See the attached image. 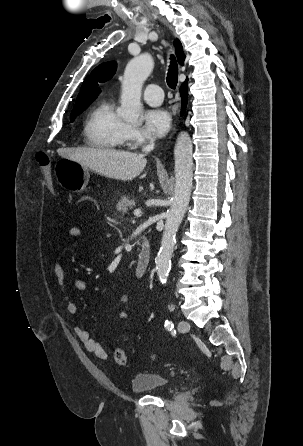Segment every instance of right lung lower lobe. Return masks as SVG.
<instances>
[{
  "label": "right lung lower lobe",
  "instance_id": "obj_1",
  "mask_svg": "<svg viewBox=\"0 0 303 446\" xmlns=\"http://www.w3.org/2000/svg\"><path fill=\"white\" fill-rule=\"evenodd\" d=\"M180 93H181V99H182V111L185 110L186 104H187V81H185L180 89Z\"/></svg>",
  "mask_w": 303,
  "mask_h": 446
}]
</instances>
